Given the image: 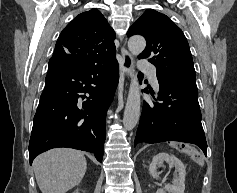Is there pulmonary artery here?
Here are the masks:
<instances>
[{"label": "pulmonary artery", "mask_w": 237, "mask_h": 193, "mask_svg": "<svg viewBox=\"0 0 237 193\" xmlns=\"http://www.w3.org/2000/svg\"><path fill=\"white\" fill-rule=\"evenodd\" d=\"M138 68L140 71L149 74L151 81L156 89H159V83L156 76V68L145 59L140 60Z\"/></svg>", "instance_id": "pulmonary-artery-1"}]
</instances>
